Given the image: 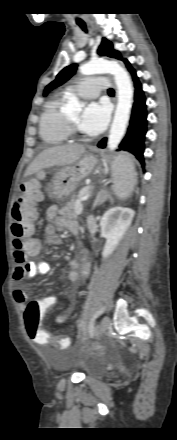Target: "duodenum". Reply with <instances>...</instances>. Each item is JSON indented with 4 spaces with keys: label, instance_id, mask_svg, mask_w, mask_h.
Wrapping results in <instances>:
<instances>
[{
    "label": "duodenum",
    "instance_id": "obj_1",
    "mask_svg": "<svg viewBox=\"0 0 177 440\" xmlns=\"http://www.w3.org/2000/svg\"><path fill=\"white\" fill-rule=\"evenodd\" d=\"M73 231H74L75 233H78V231H79V230H78V227L74 228Z\"/></svg>",
    "mask_w": 177,
    "mask_h": 440
}]
</instances>
